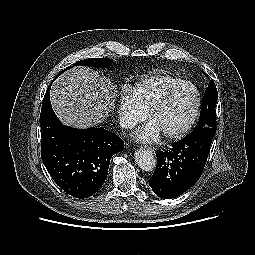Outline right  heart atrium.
Here are the masks:
<instances>
[{
	"mask_svg": "<svg viewBox=\"0 0 255 255\" xmlns=\"http://www.w3.org/2000/svg\"><path fill=\"white\" fill-rule=\"evenodd\" d=\"M120 125L132 129L147 118V112L142 108L133 89L124 86L120 92L117 109Z\"/></svg>",
	"mask_w": 255,
	"mask_h": 255,
	"instance_id": "obj_1",
	"label": "right heart atrium"
}]
</instances>
